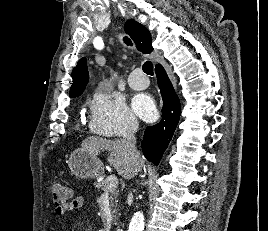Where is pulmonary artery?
Listing matches in <instances>:
<instances>
[{
  "mask_svg": "<svg viewBox=\"0 0 268 231\" xmlns=\"http://www.w3.org/2000/svg\"><path fill=\"white\" fill-rule=\"evenodd\" d=\"M128 83L134 90H144L149 85V79L141 70H135L129 75Z\"/></svg>",
  "mask_w": 268,
  "mask_h": 231,
  "instance_id": "1",
  "label": "pulmonary artery"
}]
</instances>
